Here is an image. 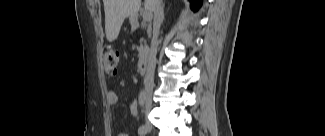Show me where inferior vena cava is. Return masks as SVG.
Listing matches in <instances>:
<instances>
[{
  "instance_id": "602c4592",
  "label": "inferior vena cava",
  "mask_w": 325,
  "mask_h": 136,
  "mask_svg": "<svg viewBox=\"0 0 325 136\" xmlns=\"http://www.w3.org/2000/svg\"><path fill=\"white\" fill-rule=\"evenodd\" d=\"M152 4V11L154 12L153 30H154V43L151 51L150 63L144 79L145 93L147 99H151L153 86H154V70L156 65V53L158 47V34L161 23L163 21V4L162 0H150Z\"/></svg>"
}]
</instances>
